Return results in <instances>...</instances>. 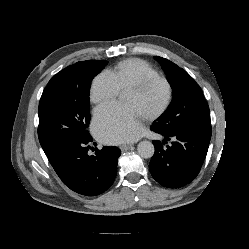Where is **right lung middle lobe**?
<instances>
[{
  "mask_svg": "<svg viewBox=\"0 0 249 249\" xmlns=\"http://www.w3.org/2000/svg\"><path fill=\"white\" fill-rule=\"evenodd\" d=\"M107 61H81L54 75L38 108V137L43 149L65 139H85L90 122L91 81Z\"/></svg>",
  "mask_w": 249,
  "mask_h": 249,
  "instance_id": "obj_1",
  "label": "right lung middle lobe"
}]
</instances>
